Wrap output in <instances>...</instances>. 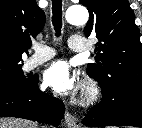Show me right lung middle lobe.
I'll list each match as a JSON object with an SVG mask.
<instances>
[{"label": "right lung middle lobe", "mask_w": 142, "mask_h": 128, "mask_svg": "<svg viewBox=\"0 0 142 128\" xmlns=\"http://www.w3.org/2000/svg\"><path fill=\"white\" fill-rule=\"evenodd\" d=\"M33 79L24 75L22 66H0V93L22 90Z\"/></svg>", "instance_id": "right-lung-middle-lobe-1"}]
</instances>
